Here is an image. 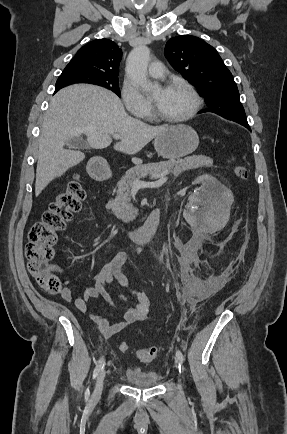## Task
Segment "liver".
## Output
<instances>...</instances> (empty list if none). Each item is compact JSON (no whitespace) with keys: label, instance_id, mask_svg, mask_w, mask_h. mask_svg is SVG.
Wrapping results in <instances>:
<instances>
[{"label":"liver","instance_id":"obj_1","mask_svg":"<svg viewBox=\"0 0 287 434\" xmlns=\"http://www.w3.org/2000/svg\"><path fill=\"white\" fill-rule=\"evenodd\" d=\"M169 126H151L130 117L111 91L92 85H73L59 91L47 110L39 139L35 195L85 159L84 153L64 149L70 138L85 135L91 148L108 147L119 134L114 149L134 155ZM134 163L140 159L132 158Z\"/></svg>","mask_w":287,"mask_h":434}]
</instances>
